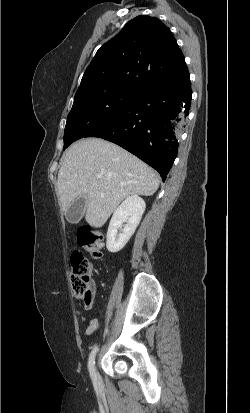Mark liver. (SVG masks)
I'll list each match as a JSON object with an SVG mask.
<instances>
[{
	"label": "liver",
	"instance_id": "1",
	"mask_svg": "<svg viewBox=\"0 0 250 413\" xmlns=\"http://www.w3.org/2000/svg\"><path fill=\"white\" fill-rule=\"evenodd\" d=\"M57 187L62 211L83 196L86 222L99 228L126 197L153 195L159 187V177L120 146L100 138H87L65 153Z\"/></svg>",
	"mask_w": 250,
	"mask_h": 413
}]
</instances>
